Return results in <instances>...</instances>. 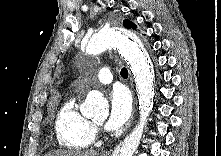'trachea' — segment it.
Segmentation results:
<instances>
[{"label": "trachea", "mask_w": 221, "mask_h": 156, "mask_svg": "<svg viewBox=\"0 0 221 156\" xmlns=\"http://www.w3.org/2000/svg\"><path fill=\"white\" fill-rule=\"evenodd\" d=\"M120 74L122 77L126 78L128 77V70L126 68H122Z\"/></svg>", "instance_id": "3493384b"}]
</instances>
